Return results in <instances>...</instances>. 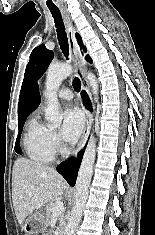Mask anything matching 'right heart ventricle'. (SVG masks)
<instances>
[{"label": "right heart ventricle", "mask_w": 155, "mask_h": 235, "mask_svg": "<svg viewBox=\"0 0 155 235\" xmlns=\"http://www.w3.org/2000/svg\"><path fill=\"white\" fill-rule=\"evenodd\" d=\"M48 131L35 117L28 122L24 148L31 160L38 163H49L53 160L55 152L49 144Z\"/></svg>", "instance_id": "1"}]
</instances>
